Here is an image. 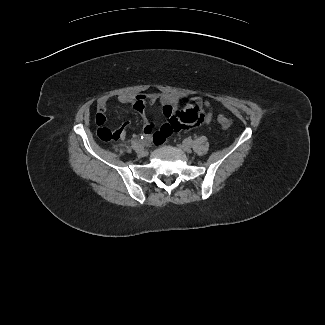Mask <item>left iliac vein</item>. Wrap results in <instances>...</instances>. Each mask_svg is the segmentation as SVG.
<instances>
[{"label":"left iliac vein","instance_id":"1","mask_svg":"<svg viewBox=\"0 0 325 325\" xmlns=\"http://www.w3.org/2000/svg\"><path fill=\"white\" fill-rule=\"evenodd\" d=\"M178 147L187 153H190L192 151L191 146L187 144H179Z\"/></svg>","mask_w":325,"mask_h":325}]
</instances>
